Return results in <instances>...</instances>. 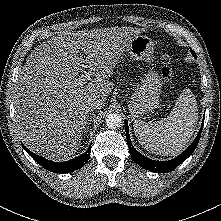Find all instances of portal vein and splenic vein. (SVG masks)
Here are the masks:
<instances>
[{
  "mask_svg": "<svg viewBox=\"0 0 221 221\" xmlns=\"http://www.w3.org/2000/svg\"><path fill=\"white\" fill-rule=\"evenodd\" d=\"M84 72V74H82L81 76H80V80L81 81H86L87 79H89L88 77H89V75L87 74V72H85V71H83Z\"/></svg>",
  "mask_w": 221,
  "mask_h": 221,
  "instance_id": "18ae733b",
  "label": "portal vein and splenic vein"
}]
</instances>
